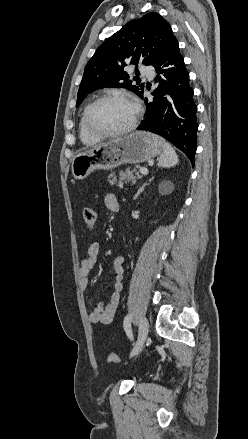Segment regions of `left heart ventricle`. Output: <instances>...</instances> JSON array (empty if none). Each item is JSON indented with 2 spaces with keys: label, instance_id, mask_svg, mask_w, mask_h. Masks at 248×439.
Masks as SVG:
<instances>
[{
  "label": "left heart ventricle",
  "instance_id": "obj_1",
  "mask_svg": "<svg viewBox=\"0 0 248 439\" xmlns=\"http://www.w3.org/2000/svg\"><path fill=\"white\" fill-rule=\"evenodd\" d=\"M134 106L124 100L109 99L98 104L92 113L94 125L106 131L125 128L133 120Z\"/></svg>",
  "mask_w": 248,
  "mask_h": 439
}]
</instances>
